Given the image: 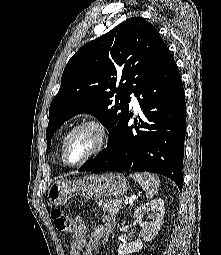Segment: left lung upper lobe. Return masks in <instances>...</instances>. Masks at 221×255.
Wrapping results in <instances>:
<instances>
[{"label": "left lung upper lobe", "mask_w": 221, "mask_h": 255, "mask_svg": "<svg viewBox=\"0 0 221 255\" xmlns=\"http://www.w3.org/2000/svg\"><path fill=\"white\" fill-rule=\"evenodd\" d=\"M166 49L156 28L142 17L129 18L81 47L68 61L49 108L48 147L57 129L82 113L95 116L110 137L129 113L130 95H137Z\"/></svg>", "instance_id": "1"}]
</instances>
